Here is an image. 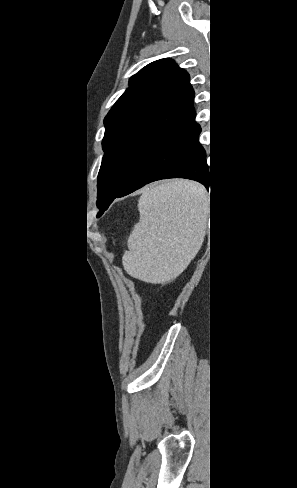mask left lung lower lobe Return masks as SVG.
Masks as SVG:
<instances>
[{
	"mask_svg": "<svg viewBox=\"0 0 297 488\" xmlns=\"http://www.w3.org/2000/svg\"><path fill=\"white\" fill-rule=\"evenodd\" d=\"M201 128L194 121L173 135L134 174L126 186L101 210L117 197H123L144 185L167 178H186L202 183L207 189L210 173L206 163V152L198 142Z\"/></svg>",
	"mask_w": 297,
	"mask_h": 488,
	"instance_id": "0a47b994",
	"label": "left lung lower lobe"
}]
</instances>
